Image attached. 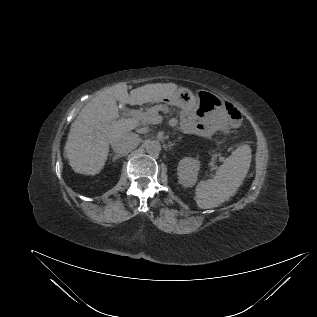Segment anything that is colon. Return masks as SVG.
<instances>
[{
  "instance_id": "obj_1",
  "label": "colon",
  "mask_w": 317,
  "mask_h": 317,
  "mask_svg": "<svg viewBox=\"0 0 317 317\" xmlns=\"http://www.w3.org/2000/svg\"><path fill=\"white\" fill-rule=\"evenodd\" d=\"M225 110L234 124H237L241 118L239 111L231 104H225Z\"/></svg>"
}]
</instances>
